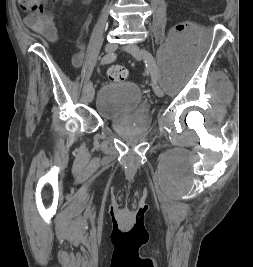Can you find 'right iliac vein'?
<instances>
[{
    "instance_id": "obj_1",
    "label": "right iliac vein",
    "mask_w": 253,
    "mask_h": 267,
    "mask_svg": "<svg viewBox=\"0 0 253 267\" xmlns=\"http://www.w3.org/2000/svg\"><path fill=\"white\" fill-rule=\"evenodd\" d=\"M117 49V44L115 43H107L105 45V51L107 53H112ZM94 94H95V90L94 88L91 86L88 90H87V95L86 98L88 100V102H91L94 98Z\"/></svg>"
}]
</instances>
